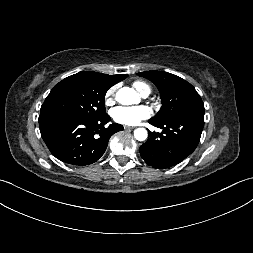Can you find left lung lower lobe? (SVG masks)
Here are the masks:
<instances>
[{
	"label": "left lung lower lobe",
	"mask_w": 253,
	"mask_h": 253,
	"mask_svg": "<svg viewBox=\"0 0 253 253\" xmlns=\"http://www.w3.org/2000/svg\"><path fill=\"white\" fill-rule=\"evenodd\" d=\"M203 108H196L170 121L149 123L162 129L150 132L149 138L140 146V155L154 168H168L188 157L197 147L204 127Z\"/></svg>",
	"instance_id": "1"
}]
</instances>
